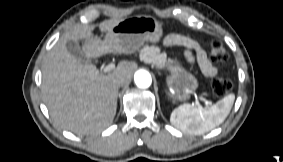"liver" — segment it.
Instances as JSON below:
<instances>
[{
	"label": "liver",
	"instance_id": "6515ba94",
	"mask_svg": "<svg viewBox=\"0 0 283 162\" xmlns=\"http://www.w3.org/2000/svg\"><path fill=\"white\" fill-rule=\"evenodd\" d=\"M122 19L101 22L106 35L93 36L94 25H77L58 40L46 55L42 66V95L52 120L61 128L78 135H89L109 127L116 115L118 87L114 80L123 77L129 83L136 64L123 61L108 74L82 62L69 53L68 40L82 41L88 58L105 54L128 53L111 29Z\"/></svg>",
	"mask_w": 283,
	"mask_h": 162
}]
</instances>
